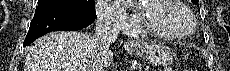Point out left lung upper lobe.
Instances as JSON below:
<instances>
[{"instance_id": "1", "label": "left lung upper lobe", "mask_w": 230, "mask_h": 71, "mask_svg": "<svg viewBox=\"0 0 230 71\" xmlns=\"http://www.w3.org/2000/svg\"><path fill=\"white\" fill-rule=\"evenodd\" d=\"M193 4H197L198 0H191Z\"/></svg>"}]
</instances>
